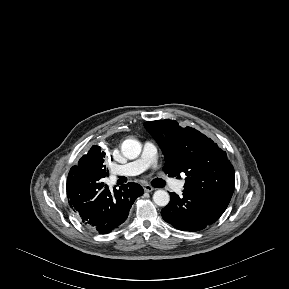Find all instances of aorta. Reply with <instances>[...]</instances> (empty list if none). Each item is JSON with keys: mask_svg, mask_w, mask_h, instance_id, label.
Returning <instances> with one entry per match:
<instances>
[{"mask_svg": "<svg viewBox=\"0 0 289 289\" xmlns=\"http://www.w3.org/2000/svg\"><path fill=\"white\" fill-rule=\"evenodd\" d=\"M122 154L128 159H135L141 153V144L134 139H126L121 146ZM153 201L156 205L165 207L170 201V196L165 190H157L153 194Z\"/></svg>", "mask_w": 289, "mask_h": 289, "instance_id": "762f6f07", "label": "aorta"}]
</instances>
